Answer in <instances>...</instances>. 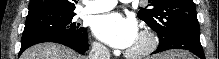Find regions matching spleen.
<instances>
[{
  "instance_id": "obj_1",
  "label": "spleen",
  "mask_w": 219,
  "mask_h": 59,
  "mask_svg": "<svg viewBox=\"0 0 219 59\" xmlns=\"http://www.w3.org/2000/svg\"><path fill=\"white\" fill-rule=\"evenodd\" d=\"M171 59H190V57L185 52L176 53Z\"/></svg>"
}]
</instances>
